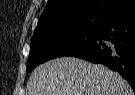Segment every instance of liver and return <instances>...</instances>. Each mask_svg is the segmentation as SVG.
Listing matches in <instances>:
<instances>
[{"label": "liver", "mask_w": 135, "mask_h": 95, "mask_svg": "<svg viewBox=\"0 0 135 95\" xmlns=\"http://www.w3.org/2000/svg\"><path fill=\"white\" fill-rule=\"evenodd\" d=\"M26 95H133L127 82L102 64L62 57L39 65Z\"/></svg>", "instance_id": "1"}]
</instances>
